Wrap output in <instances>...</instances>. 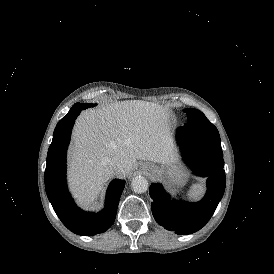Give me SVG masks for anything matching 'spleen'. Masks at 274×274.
Listing matches in <instances>:
<instances>
[{
	"label": "spleen",
	"instance_id": "1",
	"mask_svg": "<svg viewBox=\"0 0 274 274\" xmlns=\"http://www.w3.org/2000/svg\"><path fill=\"white\" fill-rule=\"evenodd\" d=\"M203 192V186L201 183L199 184H196L193 186L192 188V195L196 198L198 197L199 195H201Z\"/></svg>",
	"mask_w": 274,
	"mask_h": 274
}]
</instances>
